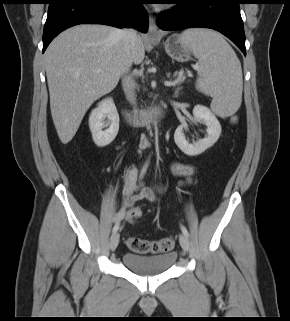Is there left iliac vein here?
Masks as SVG:
<instances>
[{
  "label": "left iliac vein",
  "mask_w": 290,
  "mask_h": 321,
  "mask_svg": "<svg viewBox=\"0 0 290 321\" xmlns=\"http://www.w3.org/2000/svg\"><path fill=\"white\" fill-rule=\"evenodd\" d=\"M179 242L181 247L185 250V251H189L190 248V242L189 239L186 235L184 234H180L179 235Z\"/></svg>",
  "instance_id": "left-iliac-vein-1"
}]
</instances>
